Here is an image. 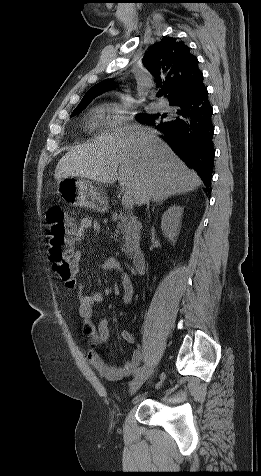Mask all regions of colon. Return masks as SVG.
<instances>
[{"label": "colon", "mask_w": 261, "mask_h": 476, "mask_svg": "<svg viewBox=\"0 0 261 476\" xmlns=\"http://www.w3.org/2000/svg\"><path fill=\"white\" fill-rule=\"evenodd\" d=\"M47 221V251L53 269L67 287L73 288L76 284V268L71 262V256L76 224L59 205H53L47 210Z\"/></svg>", "instance_id": "obj_1"}]
</instances>
